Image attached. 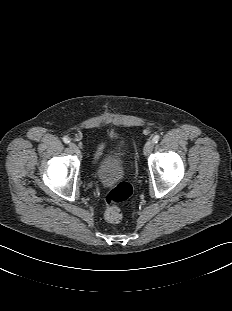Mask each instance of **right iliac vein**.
Segmentation results:
<instances>
[{
	"label": "right iliac vein",
	"mask_w": 232,
	"mask_h": 311,
	"mask_svg": "<svg viewBox=\"0 0 232 311\" xmlns=\"http://www.w3.org/2000/svg\"><path fill=\"white\" fill-rule=\"evenodd\" d=\"M69 146H70V148H71L76 154L79 153V148H78V146H77L75 143L71 142V143L69 144Z\"/></svg>",
	"instance_id": "obj_1"
}]
</instances>
